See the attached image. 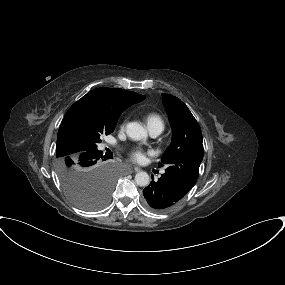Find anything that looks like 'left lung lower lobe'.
I'll list each match as a JSON object with an SVG mask.
<instances>
[{
  "label": "left lung lower lobe",
  "mask_w": 285,
  "mask_h": 285,
  "mask_svg": "<svg viewBox=\"0 0 285 285\" xmlns=\"http://www.w3.org/2000/svg\"><path fill=\"white\" fill-rule=\"evenodd\" d=\"M193 187L179 175L165 171L157 182L151 183L143 190L145 203L156 211H166L181 200Z\"/></svg>",
  "instance_id": "0a47b994"
}]
</instances>
